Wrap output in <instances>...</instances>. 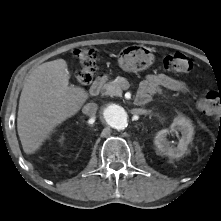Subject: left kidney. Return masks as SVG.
I'll use <instances>...</instances> for the list:
<instances>
[{
    "label": "left kidney",
    "mask_w": 221,
    "mask_h": 221,
    "mask_svg": "<svg viewBox=\"0 0 221 221\" xmlns=\"http://www.w3.org/2000/svg\"><path fill=\"white\" fill-rule=\"evenodd\" d=\"M180 131L182 136L179 139L177 146H174L167 140L169 132ZM194 134V128L191 120L183 116L182 114L177 115L173 123L170 126V130L163 129L157 132L154 144L158 148L160 153L167 155L172 158H178L185 154L187 151L188 144L192 141Z\"/></svg>",
    "instance_id": "left-kidney-1"
}]
</instances>
